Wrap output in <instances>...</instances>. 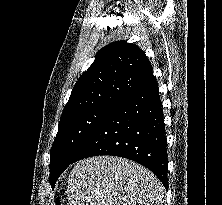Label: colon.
<instances>
[{
    "instance_id": "5ec220e1",
    "label": "colon",
    "mask_w": 222,
    "mask_h": 205,
    "mask_svg": "<svg viewBox=\"0 0 222 205\" xmlns=\"http://www.w3.org/2000/svg\"><path fill=\"white\" fill-rule=\"evenodd\" d=\"M55 205H60V201L58 199L55 201Z\"/></svg>"
}]
</instances>
